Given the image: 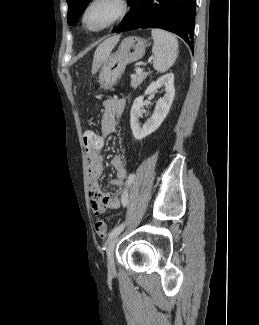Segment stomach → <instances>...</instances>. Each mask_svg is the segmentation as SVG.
<instances>
[{
	"mask_svg": "<svg viewBox=\"0 0 259 325\" xmlns=\"http://www.w3.org/2000/svg\"><path fill=\"white\" fill-rule=\"evenodd\" d=\"M148 42L141 37H126L120 43L118 50L110 54L103 62L99 74L101 88L108 90L112 88L124 72L126 66L141 59Z\"/></svg>",
	"mask_w": 259,
	"mask_h": 325,
	"instance_id": "stomach-1",
	"label": "stomach"
}]
</instances>
